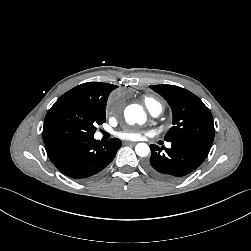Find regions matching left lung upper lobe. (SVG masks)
Returning <instances> with one entry per match:
<instances>
[{"mask_svg": "<svg viewBox=\"0 0 251 251\" xmlns=\"http://www.w3.org/2000/svg\"><path fill=\"white\" fill-rule=\"evenodd\" d=\"M149 87L167 100L172 109L173 127L165 135L166 141L199 140L213 143V117L199 97L175 85Z\"/></svg>", "mask_w": 251, "mask_h": 251, "instance_id": "5c2ea615", "label": "left lung upper lobe"}]
</instances>
